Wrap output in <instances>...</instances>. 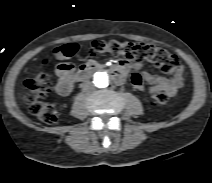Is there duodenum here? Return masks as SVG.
<instances>
[{"label": "duodenum", "instance_id": "duodenum-1", "mask_svg": "<svg viewBox=\"0 0 212 183\" xmlns=\"http://www.w3.org/2000/svg\"><path fill=\"white\" fill-rule=\"evenodd\" d=\"M102 69H104V66L89 62L80 66V68L76 72L75 78L77 81L81 82L92 76L95 72ZM109 75L111 79L116 83H121L124 80L123 72L119 67L110 69Z\"/></svg>", "mask_w": 212, "mask_h": 183}]
</instances>
